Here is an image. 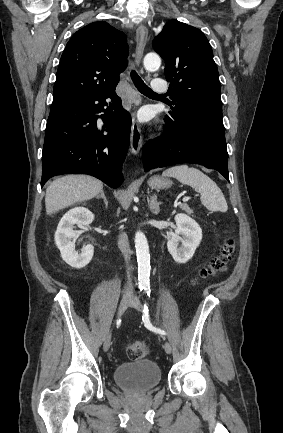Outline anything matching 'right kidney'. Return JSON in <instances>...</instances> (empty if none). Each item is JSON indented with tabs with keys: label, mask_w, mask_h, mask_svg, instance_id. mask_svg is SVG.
<instances>
[{
	"label": "right kidney",
	"mask_w": 283,
	"mask_h": 433,
	"mask_svg": "<svg viewBox=\"0 0 283 433\" xmlns=\"http://www.w3.org/2000/svg\"><path fill=\"white\" fill-rule=\"evenodd\" d=\"M94 220V214L84 207L70 209L61 218L55 232V243L60 250L62 259L71 267L80 269L85 267L92 259L94 247L91 244L84 246L81 253L74 251L73 238L77 232L74 225L87 226Z\"/></svg>",
	"instance_id": "1"
}]
</instances>
